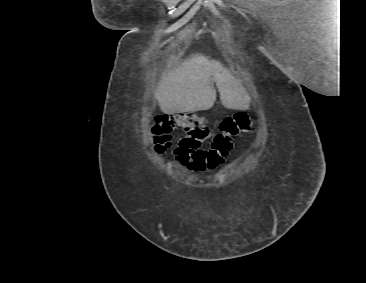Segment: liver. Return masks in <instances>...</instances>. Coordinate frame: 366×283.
I'll return each instance as SVG.
<instances>
[{"label": "liver", "instance_id": "liver-1", "mask_svg": "<svg viewBox=\"0 0 366 283\" xmlns=\"http://www.w3.org/2000/svg\"><path fill=\"white\" fill-rule=\"evenodd\" d=\"M216 83L222 105L247 110L250 97L240 82L219 61L202 54L192 55L163 75L156 98L163 113H183L210 109L216 100Z\"/></svg>", "mask_w": 366, "mask_h": 283}]
</instances>
